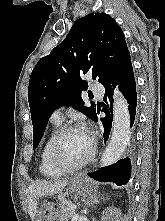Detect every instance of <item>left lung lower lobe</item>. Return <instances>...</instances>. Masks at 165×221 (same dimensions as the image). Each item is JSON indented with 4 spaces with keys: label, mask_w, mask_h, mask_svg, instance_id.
Returning <instances> with one entry per match:
<instances>
[{
    "label": "left lung lower lobe",
    "mask_w": 165,
    "mask_h": 221,
    "mask_svg": "<svg viewBox=\"0 0 165 221\" xmlns=\"http://www.w3.org/2000/svg\"><path fill=\"white\" fill-rule=\"evenodd\" d=\"M116 85H119V89L122 91L129 103L128 107L132 126L136 115L137 93L130 54L124 58L121 65L111 78L103 84L105 87L104 101L106 104H104L105 107L102 111L106 114V116L101 120L104 127L103 136L105 143L109 137L112 126L113 89ZM93 120L97 121V116H95ZM88 175L100 182H114L116 185H125L128 183L131 176V158L126 157L115 164L100 168L98 171L93 173H88Z\"/></svg>",
    "instance_id": "1"
}]
</instances>
